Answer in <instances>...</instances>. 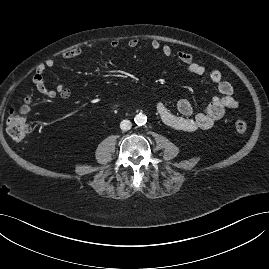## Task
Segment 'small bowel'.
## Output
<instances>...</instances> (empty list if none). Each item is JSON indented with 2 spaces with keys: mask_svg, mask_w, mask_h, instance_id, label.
<instances>
[{
  "mask_svg": "<svg viewBox=\"0 0 269 269\" xmlns=\"http://www.w3.org/2000/svg\"><path fill=\"white\" fill-rule=\"evenodd\" d=\"M128 47L135 49L139 45V41L136 38H131L128 43ZM120 46V42L117 39L110 41V47L117 49ZM150 47L153 50L160 51L166 58L174 57L177 61L183 64L187 71L194 76L202 77L207 73L206 68L197 63L194 56L190 52L178 51L174 52L172 47L163 44L159 40H153L150 43ZM82 54L80 48H73L63 53V59H72ZM55 66L54 60H48L43 64L37 66L35 73L32 77V82L37 90L47 98L60 97L67 99L71 96V91L68 87L59 84L54 88L46 85L44 80V74L47 69H51ZM210 80L216 85L219 95L215 96L207 105L205 110L193 115V108L188 99H180L177 102V113H173L162 102L156 105V113L161 121L174 129L186 132H194L200 130L210 129L215 123H217L229 109H237L239 102L233 96V86L230 82L223 79V75L219 70H213L209 74Z\"/></svg>",
  "mask_w": 269,
  "mask_h": 269,
  "instance_id": "obj_1",
  "label": "small bowel"
}]
</instances>
